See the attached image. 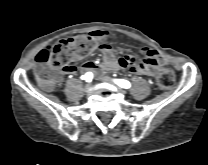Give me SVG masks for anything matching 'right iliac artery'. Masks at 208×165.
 <instances>
[{"instance_id":"82829eb1","label":"right iliac artery","mask_w":208,"mask_h":165,"mask_svg":"<svg viewBox=\"0 0 208 165\" xmlns=\"http://www.w3.org/2000/svg\"><path fill=\"white\" fill-rule=\"evenodd\" d=\"M82 79H85L86 82H91L93 79V74L91 72H88L84 76H82Z\"/></svg>"}]
</instances>
